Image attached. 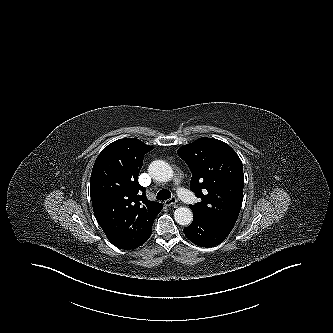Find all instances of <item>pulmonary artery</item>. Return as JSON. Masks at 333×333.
<instances>
[{
    "label": "pulmonary artery",
    "instance_id": "obj_1",
    "mask_svg": "<svg viewBox=\"0 0 333 333\" xmlns=\"http://www.w3.org/2000/svg\"><path fill=\"white\" fill-rule=\"evenodd\" d=\"M178 195L181 199H183L185 202L189 204H194L195 202V197L182 188L178 190Z\"/></svg>",
    "mask_w": 333,
    "mask_h": 333
}]
</instances>
